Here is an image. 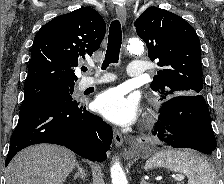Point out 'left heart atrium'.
<instances>
[{
	"instance_id": "left-heart-atrium-1",
	"label": "left heart atrium",
	"mask_w": 224,
	"mask_h": 184,
	"mask_svg": "<svg viewBox=\"0 0 224 184\" xmlns=\"http://www.w3.org/2000/svg\"><path fill=\"white\" fill-rule=\"evenodd\" d=\"M95 108L109 121L125 126L136 119L138 102L132 96H125L120 89L112 88L98 95Z\"/></svg>"
}]
</instances>
